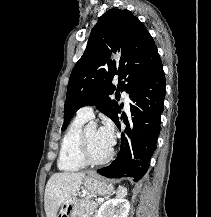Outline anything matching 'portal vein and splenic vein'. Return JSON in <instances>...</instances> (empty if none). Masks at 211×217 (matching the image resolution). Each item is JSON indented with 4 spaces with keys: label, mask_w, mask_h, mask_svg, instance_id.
<instances>
[{
    "label": "portal vein and splenic vein",
    "mask_w": 211,
    "mask_h": 217,
    "mask_svg": "<svg viewBox=\"0 0 211 217\" xmlns=\"http://www.w3.org/2000/svg\"><path fill=\"white\" fill-rule=\"evenodd\" d=\"M97 201H98V202H102V200H101V199H98Z\"/></svg>",
    "instance_id": "portal-vein-and-splenic-vein-1"
}]
</instances>
